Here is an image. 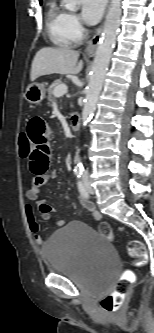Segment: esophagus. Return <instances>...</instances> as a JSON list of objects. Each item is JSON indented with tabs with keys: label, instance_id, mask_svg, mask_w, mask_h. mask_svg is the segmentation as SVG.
<instances>
[{
	"label": "esophagus",
	"instance_id": "1",
	"mask_svg": "<svg viewBox=\"0 0 154 333\" xmlns=\"http://www.w3.org/2000/svg\"><path fill=\"white\" fill-rule=\"evenodd\" d=\"M102 30H103V24L98 28L96 34L93 36V38L89 41L87 47H86V54L88 56H93L95 49L99 43V39L101 37L102 34Z\"/></svg>",
	"mask_w": 154,
	"mask_h": 333
}]
</instances>
